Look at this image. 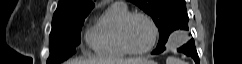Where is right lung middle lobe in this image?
Returning a JSON list of instances; mask_svg holds the SVG:
<instances>
[{
	"label": "right lung middle lobe",
	"instance_id": "right-lung-middle-lobe-1",
	"mask_svg": "<svg viewBox=\"0 0 242 64\" xmlns=\"http://www.w3.org/2000/svg\"><path fill=\"white\" fill-rule=\"evenodd\" d=\"M88 14L52 21V30L49 36L50 56L47 64H59L75 54L76 47L81 41V28Z\"/></svg>",
	"mask_w": 242,
	"mask_h": 64
}]
</instances>
